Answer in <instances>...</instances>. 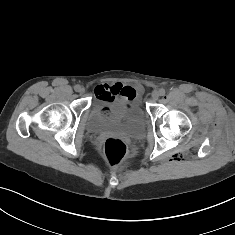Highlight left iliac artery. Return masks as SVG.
Instances as JSON below:
<instances>
[{
    "instance_id": "left-iliac-artery-1",
    "label": "left iliac artery",
    "mask_w": 235,
    "mask_h": 235,
    "mask_svg": "<svg viewBox=\"0 0 235 235\" xmlns=\"http://www.w3.org/2000/svg\"><path fill=\"white\" fill-rule=\"evenodd\" d=\"M159 93H160V96H164L165 95V89H163V88H161L160 90H159Z\"/></svg>"
}]
</instances>
